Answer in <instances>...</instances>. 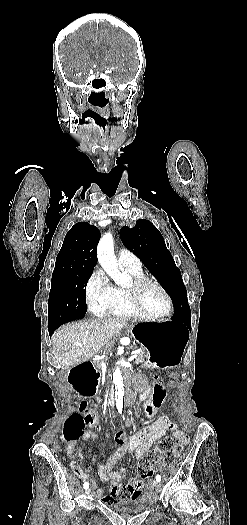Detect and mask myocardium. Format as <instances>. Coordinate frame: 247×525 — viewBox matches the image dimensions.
Returning <instances> with one entry per match:
<instances>
[{"mask_svg":"<svg viewBox=\"0 0 247 525\" xmlns=\"http://www.w3.org/2000/svg\"><path fill=\"white\" fill-rule=\"evenodd\" d=\"M147 282H151L155 284L156 286H158V288L163 292L166 298V307L160 312H151L142 303V300L140 297V290L142 286ZM125 288L130 293V295L133 297L134 305L138 309V311L145 314L147 317H154V319H160V318L167 316L172 310V306H173L172 298L170 294L168 293L167 289L156 278L142 276L138 279H128Z\"/></svg>","mask_w":247,"mask_h":525,"instance_id":"obj_1","label":"myocardium"}]
</instances>
